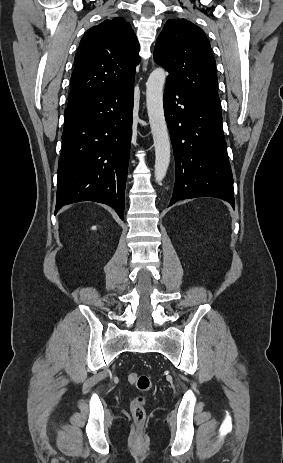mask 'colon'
<instances>
[{
  "instance_id": "1",
  "label": "colon",
  "mask_w": 283,
  "mask_h": 463,
  "mask_svg": "<svg viewBox=\"0 0 283 463\" xmlns=\"http://www.w3.org/2000/svg\"><path fill=\"white\" fill-rule=\"evenodd\" d=\"M127 379L130 384L134 385L141 392L130 403L132 417L135 423L141 426L146 419L145 405L147 403V394L152 389V381L149 376L137 373L128 374Z\"/></svg>"
}]
</instances>
